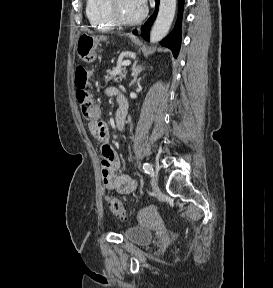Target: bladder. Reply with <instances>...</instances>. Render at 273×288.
I'll use <instances>...</instances> for the list:
<instances>
[{"label":"bladder","instance_id":"1","mask_svg":"<svg viewBox=\"0 0 273 288\" xmlns=\"http://www.w3.org/2000/svg\"><path fill=\"white\" fill-rule=\"evenodd\" d=\"M123 236L127 241L137 245H148L152 243L154 239L152 231L140 226H134L128 228L123 233Z\"/></svg>","mask_w":273,"mask_h":288}]
</instances>
